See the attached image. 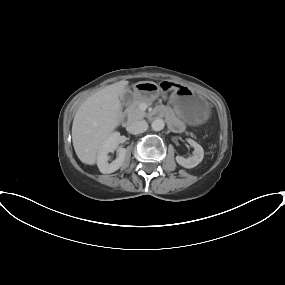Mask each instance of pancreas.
Wrapping results in <instances>:
<instances>
[{"instance_id": "obj_1", "label": "pancreas", "mask_w": 285, "mask_h": 285, "mask_svg": "<svg viewBox=\"0 0 285 285\" xmlns=\"http://www.w3.org/2000/svg\"><path fill=\"white\" fill-rule=\"evenodd\" d=\"M142 103L150 104V102L145 101L143 99H136L128 106V108L126 109V113L129 121L141 120L146 116V112L140 109V105Z\"/></svg>"}]
</instances>
